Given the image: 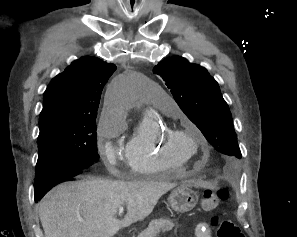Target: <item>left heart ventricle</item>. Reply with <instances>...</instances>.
<instances>
[{
    "label": "left heart ventricle",
    "mask_w": 297,
    "mask_h": 237,
    "mask_svg": "<svg viewBox=\"0 0 297 237\" xmlns=\"http://www.w3.org/2000/svg\"><path fill=\"white\" fill-rule=\"evenodd\" d=\"M182 147H183L184 151L187 153H191L194 150V147L190 142H184Z\"/></svg>",
    "instance_id": "b2bd125f"
}]
</instances>
